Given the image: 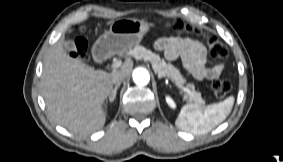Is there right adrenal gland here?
Masks as SVG:
<instances>
[{
	"instance_id": "1",
	"label": "right adrenal gland",
	"mask_w": 283,
	"mask_h": 162,
	"mask_svg": "<svg viewBox=\"0 0 283 162\" xmlns=\"http://www.w3.org/2000/svg\"><path fill=\"white\" fill-rule=\"evenodd\" d=\"M118 88H119V85H116L115 88L112 90V92L110 94V98H109L110 101L115 100Z\"/></svg>"
}]
</instances>
